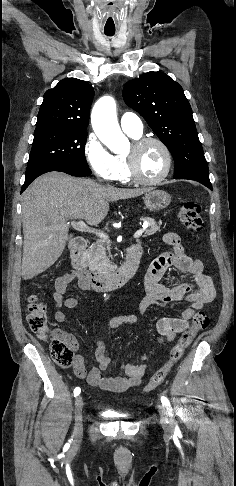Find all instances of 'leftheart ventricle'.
<instances>
[{"mask_svg": "<svg viewBox=\"0 0 236 486\" xmlns=\"http://www.w3.org/2000/svg\"><path fill=\"white\" fill-rule=\"evenodd\" d=\"M133 152L130 147L127 155ZM139 173L146 179L160 176L165 169V156L162 149L154 143L148 144L136 153Z\"/></svg>", "mask_w": 236, "mask_h": 486, "instance_id": "left-heart-ventricle-1", "label": "left heart ventricle"}]
</instances>
